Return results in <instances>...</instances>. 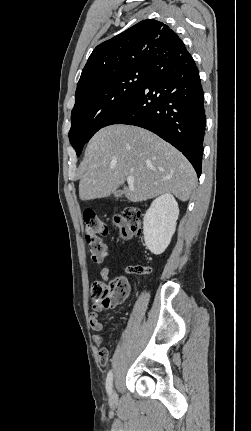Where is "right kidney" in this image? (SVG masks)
Instances as JSON below:
<instances>
[{"mask_svg":"<svg viewBox=\"0 0 251 431\" xmlns=\"http://www.w3.org/2000/svg\"><path fill=\"white\" fill-rule=\"evenodd\" d=\"M178 203L170 193L156 198L143 219V234L147 248L155 255L165 251L176 229Z\"/></svg>","mask_w":251,"mask_h":431,"instance_id":"ca27d5eb","label":"right kidney"}]
</instances>
